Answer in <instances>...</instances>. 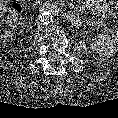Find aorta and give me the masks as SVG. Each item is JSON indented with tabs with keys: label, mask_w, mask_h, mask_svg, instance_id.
<instances>
[{
	"label": "aorta",
	"mask_w": 118,
	"mask_h": 118,
	"mask_svg": "<svg viewBox=\"0 0 118 118\" xmlns=\"http://www.w3.org/2000/svg\"><path fill=\"white\" fill-rule=\"evenodd\" d=\"M40 20L43 24H50L53 21V15L50 12L45 11L40 15Z\"/></svg>",
	"instance_id": "obj_1"
}]
</instances>
